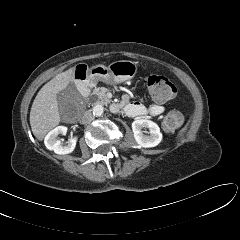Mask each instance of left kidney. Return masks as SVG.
<instances>
[{"label":"left kidney","mask_w":240,"mask_h":240,"mask_svg":"<svg viewBox=\"0 0 240 240\" xmlns=\"http://www.w3.org/2000/svg\"><path fill=\"white\" fill-rule=\"evenodd\" d=\"M148 128L150 135H144L142 129ZM132 130L136 143L144 148L157 146L162 139L159 126L147 119H138L133 121Z\"/></svg>","instance_id":"obj_1"}]
</instances>
